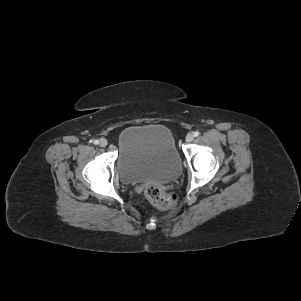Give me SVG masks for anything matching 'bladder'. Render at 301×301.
Returning a JSON list of instances; mask_svg holds the SVG:
<instances>
[{"label":"bladder","mask_w":301,"mask_h":301,"mask_svg":"<svg viewBox=\"0 0 301 301\" xmlns=\"http://www.w3.org/2000/svg\"><path fill=\"white\" fill-rule=\"evenodd\" d=\"M116 167L125 184L173 181L181 160L172 133L159 124L125 128L118 136Z\"/></svg>","instance_id":"31cf9c89"}]
</instances>
